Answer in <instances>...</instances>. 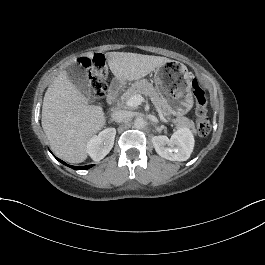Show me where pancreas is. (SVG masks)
I'll use <instances>...</instances> for the list:
<instances>
[{
	"instance_id": "pancreas-1",
	"label": "pancreas",
	"mask_w": 265,
	"mask_h": 265,
	"mask_svg": "<svg viewBox=\"0 0 265 265\" xmlns=\"http://www.w3.org/2000/svg\"><path fill=\"white\" fill-rule=\"evenodd\" d=\"M135 94H143L149 96L156 107L162 109L164 116H169L170 105L167 103V100L160 96L153 85L148 82L146 79H141L135 81L132 86L122 95L121 99L124 104L130 99L131 96ZM173 122L177 127H187L195 130V125L192 120H189L186 117H178Z\"/></svg>"
}]
</instances>
